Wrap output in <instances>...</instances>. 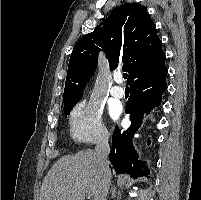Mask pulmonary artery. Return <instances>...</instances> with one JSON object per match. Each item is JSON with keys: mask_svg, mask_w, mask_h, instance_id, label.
Listing matches in <instances>:
<instances>
[{"mask_svg": "<svg viewBox=\"0 0 201 200\" xmlns=\"http://www.w3.org/2000/svg\"><path fill=\"white\" fill-rule=\"evenodd\" d=\"M115 81L117 82V85L111 88L110 93L115 98H122L124 96V89L120 86L122 81L121 76L117 75L115 77Z\"/></svg>", "mask_w": 201, "mask_h": 200, "instance_id": "pulmonary-artery-1", "label": "pulmonary artery"}]
</instances>
